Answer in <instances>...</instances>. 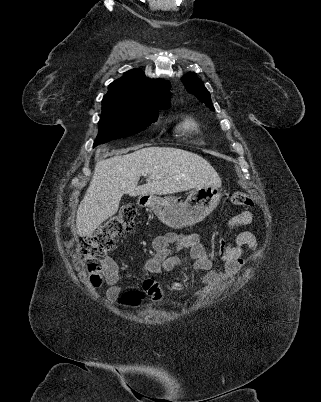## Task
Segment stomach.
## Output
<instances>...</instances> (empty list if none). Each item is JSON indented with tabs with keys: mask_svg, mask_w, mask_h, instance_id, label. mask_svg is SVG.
I'll return each instance as SVG.
<instances>
[{
	"mask_svg": "<svg viewBox=\"0 0 321 402\" xmlns=\"http://www.w3.org/2000/svg\"><path fill=\"white\" fill-rule=\"evenodd\" d=\"M221 197L220 187L208 185L191 191L184 202L174 196L149 195L146 204L162 223L180 229L202 221L216 208Z\"/></svg>",
	"mask_w": 321,
	"mask_h": 402,
	"instance_id": "obj_1",
	"label": "stomach"
}]
</instances>
